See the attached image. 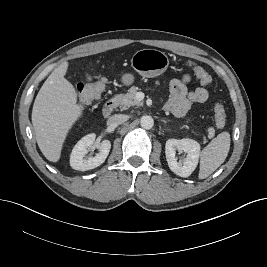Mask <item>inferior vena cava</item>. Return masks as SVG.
I'll use <instances>...</instances> for the list:
<instances>
[{
  "mask_svg": "<svg viewBox=\"0 0 267 267\" xmlns=\"http://www.w3.org/2000/svg\"><path fill=\"white\" fill-rule=\"evenodd\" d=\"M127 120L126 115L122 114H115L112 115L108 120H107V125L110 127H117L118 125L124 123Z\"/></svg>",
  "mask_w": 267,
  "mask_h": 267,
  "instance_id": "inferior-vena-cava-1",
  "label": "inferior vena cava"
}]
</instances>
